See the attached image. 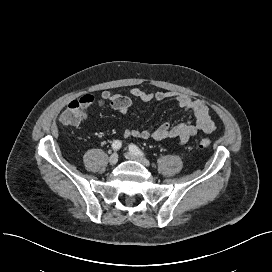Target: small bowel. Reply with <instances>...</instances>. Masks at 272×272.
Returning a JSON list of instances; mask_svg holds the SVG:
<instances>
[{"instance_id":"small-bowel-1","label":"small bowel","mask_w":272,"mask_h":272,"mask_svg":"<svg viewBox=\"0 0 272 272\" xmlns=\"http://www.w3.org/2000/svg\"><path fill=\"white\" fill-rule=\"evenodd\" d=\"M128 93L131 97L142 102L172 99L183 111L190 112L194 116V119L180 124L165 122L155 130L129 127L123 131L125 138L135 137L156 141L176 139L179 144H185L198 131L211 133L216 129V123L211 116L210 108L204 101L174 91L146 92L138 88H133ZM105 102H109L111 107L121 114H127L132 106V100L129 96L104 90L97 96L86 94L80 99L72 101L68 105L67 110L62 114L60 121L66 126H78L88 117V111L92 106H100Z\"/></svg>"}]
</instances>
